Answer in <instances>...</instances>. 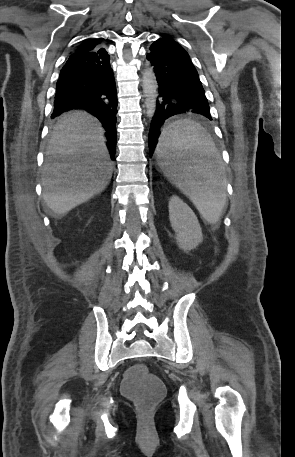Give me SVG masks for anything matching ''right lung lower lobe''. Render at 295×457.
<instances>
[{
	"instance_id": "obj_1",
	"label": "right lung lower lobe",
	"mask_w": 295,
	"mask_h": 457,
	"mask_svg": "<svg viewBox=\"0 0 295 457\" xmlns=\"http://www.w3.org/2000/svg\"><path fill=\"white\" fill-rule=\"evenodd\" d=\"M109 59L104 48L70 55L60 71L51 118L71 109L90 112L103 124L114 157L117 94Z\"/></svg>"
}]
</instances>
